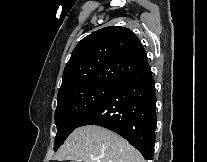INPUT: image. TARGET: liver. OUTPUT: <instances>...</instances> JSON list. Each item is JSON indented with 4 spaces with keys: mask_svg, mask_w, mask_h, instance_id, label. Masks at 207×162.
<instances>
[{
    "mask_svg": "<svg viewBox=\"0 0 207 162\" xmlns=\"http://www.w3.org/2000/svg\"><path fill=\"white\" fill-rule=\"evenodd\" d=\"M56 160L83 162H145L123 137L97 125L76 128L56 154Z\"/></svg>",
    "mask_w": 207,
    "mask_h": 162,
    "instance_id": "obj_1",
    "label": "liver"
}]
</instances>
